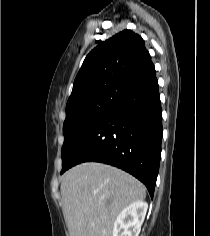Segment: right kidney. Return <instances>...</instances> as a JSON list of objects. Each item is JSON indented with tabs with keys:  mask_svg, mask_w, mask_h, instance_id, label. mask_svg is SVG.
Instances as JSON below:
<instances>
[{
	"mask_svg": "<svg viewBox=\"0 0 210 236\" xmlns=\"http://www.w3.org/2000/svg\"><path fill=\"white\" fill-rule=\"evenodd\" d=\"M148 204L136 201L124 208L118 215L112 236H138L144 221Z\"/></svg>",
	"mask_w": 210,
	"mask_h": 236,
	"instance_id": "ca27d5eb",
	"label": "right kidney"
}]
</instances>
